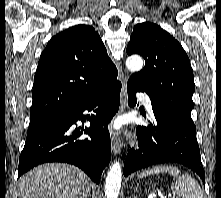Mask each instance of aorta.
I'll use <instances>...</instances> for the list:
<instances>
[{
    "label": "aorta",
    "mask_w": 221,
    "mask_h": 198,
    "mask_svg": "<svg viewBox=\"0 0 221 198\" xmlns=\"http://www.w3.org/2000/svg\"><path fill=\"white\" fill-rule=\"evenodd\" d=\"M126 67L130 71H139L143 67V60L140 56L133 55L126 60ZM122 170L119 161L114 162L106 177L105 196L106 198H118L121 187Z\"/></svg>",
    "instance_id": "1"
}]
</instances>
